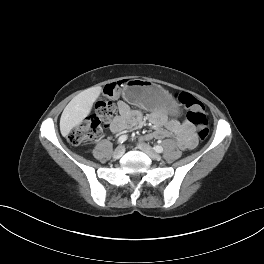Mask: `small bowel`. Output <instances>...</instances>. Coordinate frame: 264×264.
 <instances>
[{"instance_id": "1", "label": "small bowel", "mask_w": 264, "mask_h": 264, "mask_svg": "<svg viewBox=\"0 0 264 264\" xmlns=\"http://www.w3.org/2000/svg\"><path fill=\"white\" fill-rule=\"evenodd\" d=\"M119 115L113 120L111 130L119 133L125 129L134 128L143 121V114L138 109H132L126 102L120 100L117 103ZM153 132L143 137V140L163 139L174 136L182 149H193L197 144V137L193 125L184 120L168 118L162 111H154L150 114Z\"/></svg>"}]
</instances>
